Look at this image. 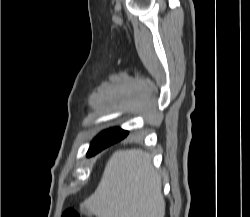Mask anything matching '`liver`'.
I'll return each mask as SVG.
<instances>
[{
  "label": "liver",
  "mask_w": 250,
  "mask_h": 217,
  "mask_svg": "<svg viewBox=\"0 0 250 217\" xmlns=\"http://www.w3.org/2000/svg\"><path fill=\"white\" fill-rule=\"evenodd\" d=\"M81 207L97 217H164L161 177L140 149L118 150L95 192Z\"/></svg>",
  "instance_id": "liver-1"
}]
</instances>
